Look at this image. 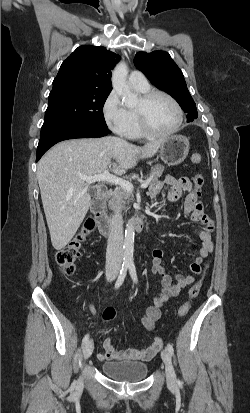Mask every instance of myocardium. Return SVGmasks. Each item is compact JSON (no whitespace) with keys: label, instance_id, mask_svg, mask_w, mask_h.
<instances>
[{"label":"myocardium","instance_id":"obj_1","mask_svg":"<svg viewBox=\"0 0 250 413\" xmlns=\"http://www.w3.org/2000/svg\"><path fill=\"white\" fill-rule=\"evenodd\" d=\"M156 96H163L167 98L174 105V107L176 108L177 114H178V120L174 128L165 133H158L154 131L149 124L147 108L150 102ZM141 103H142L141 106L136 109V114L138 117L141 132L145 137L152 138V139H165V138H169L173 136L180 130L183 124V120H184V113H183V109L181 105L172 95L162 90H156V89L148 90L147 92L142 94Z\"/></svg>","mask_w":250,"mask_h":413}]
</instances>
